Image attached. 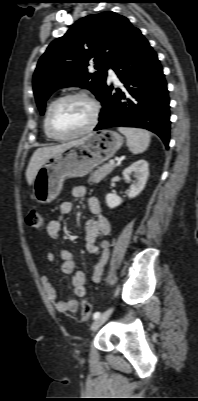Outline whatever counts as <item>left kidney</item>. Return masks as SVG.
I'll list each match as a JSON object with an SVG mask.
<instances>
[{"label": "left kidney", "mask_w": 198, "mask_h": 401, "mask_svg": "<svg viewBox=\"0 0 198 401\" xmlns=\"http://www.w3.org/2000/svg\"><path fill=\"white\" fill-rule=\"evenodd\" d=\"M132 174L136 179V182L130 185L128 194L129 198H134L139 195L146 185L149 175L147 161L143 159L138 160L123 171V176L128 182L130 181V175ZM105 199L107 206L111 209L119 206L123 202L119 196L113 193H108Z\"/></svg>", "instance_id": "5707ae66"}]
</instances>
